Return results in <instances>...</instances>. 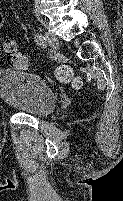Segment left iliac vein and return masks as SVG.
<instances>
[{
	"label": "left iliac vein",
	"mask_w": 123,
	"mask_h": 201,
	"mask_svg": "<svg viewBox=\"0 0 123 201\" xmlns=\"http://www.w3.org/2000/svg\"><path fill=\"white\" fill-rule=\"evenodd\" d=\"M44 38L53 49L57 50L59 48V41L55 35L46 33Z\"/></svg>",
	"instance_id": "left-iliac-vein-1"
}]
</instances>
